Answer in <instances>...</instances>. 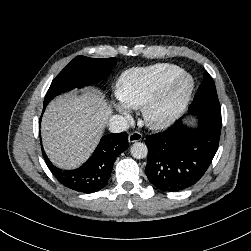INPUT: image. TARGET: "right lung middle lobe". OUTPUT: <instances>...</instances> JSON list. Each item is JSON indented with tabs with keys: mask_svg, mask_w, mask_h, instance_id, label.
I'll list each match as a JSON object with an SVG mask.
<instances>
[{
	"mask_svg": "<svg viewBox=\"0 0 251 251\" xmlns=\"http://www.w3.org/2000/svg\"><path fill=\"white\" fill-rule=\"evenodd\" d=\"M116 63V58L75 57L52 81L44 99V107L60 93L82 88L95 80L108 77Z\"/></svg>",
	"mask_w": 251,
	"mask_h": 251,
	"instance_id": "1",
	"label": "right lung middle lobe"
}]
</instances>
